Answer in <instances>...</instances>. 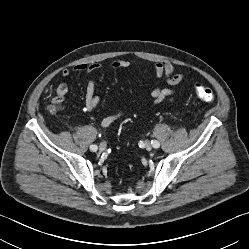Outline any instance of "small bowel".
<instances>
[{"mask_svg": "<svg viewBox=\"0 0 249 249\" xmlns=\"http://www.w3.org/2000/svg\"><path fill=\"white\" fill-rule=\"evenodd\" d=\"M140 66L141 63L131 65L127 60L115 61L111 64V67L115 69L127 67L139 68ZM101 67L102 64L100 62H90L87 64H79L71 69L65 68L63 69L62 74L65 77H68L73 73L92 74ZM153 74L156 78L164 79L170 87L163 88L155 85L151 89L152 104L161 105L176 100L180 95V91L177 86L183 81L184 73L177 71L171 62L158 61L153 66ZM97 85L98 78L94 77L88 82L86 86L84 97V109L86 111H93L100 104V98L96 94ZM68 92L69 85L66 82L60 83L56 88V93L59 97L66 96ZM135 109L136 107L134 106H128L113 114L107 115L100 120V125L106 128Z\"/></svg>", "mask_w": 249, "mask_h": 249, "instance_id": "obj_1", "label": "small bowel"}]
</instances>
